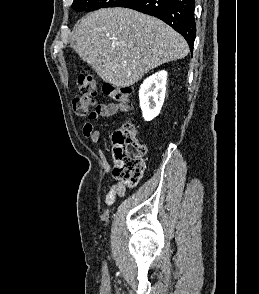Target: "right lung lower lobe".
<instances>
[{"mask_svg": "<svg viewBox=\"0 0 259 294\" xmlns=\"http://www.w3.org/2000/svg\"><path fill=\"white\" fill-rule=\"evenodd\" d=\"M120 7L131 8L163 20L186 39L193 51L196 37L195 0H128Z\"/></svg>", "mask_w": 259, "mask_h": 294, "instance_id": "98d812e1", "label": "right lung lower lobe"}]
</instances>
